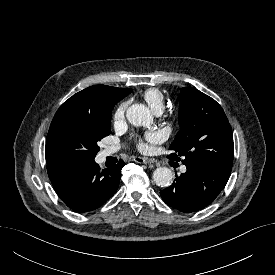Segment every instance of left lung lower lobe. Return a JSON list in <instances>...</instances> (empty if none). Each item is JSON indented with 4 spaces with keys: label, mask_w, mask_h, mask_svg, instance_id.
Instances as JSON below:
<instances>
[{
    "label": "left lung lower lobe",
    "mask_w": 275,
    "mask_h": 275,
    "mask_svg": "<svg viewBox=\"0 0 275 275\" xmlns=\"http://www.w3.org/2000/svg\"><path fill=\"white\" fill-rule=\"evenodd\" d=\"M173 184L160 195L169 206L185 212L199 211L211 204L225 187L232 168L207 163L186 165Z\"/></svg>",
    "instance_id": "1"
}]
</instances>
